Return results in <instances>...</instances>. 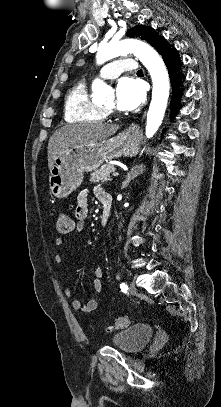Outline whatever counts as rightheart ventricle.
<instances>
[{"mask_svg": "<svg viewBox=\"0 0 221 407\" xmlns=\"http://www.w3.org/2000/svg\"><path fill=\"white\" fill-rule=\"evenodd\" d=\"M106 115L103 107L92 99L85 80L77 81L70 88L64 106L67 122H100Z\"/></svg>", "mask_w": 221, "mask_h": 407, "instance_id": "e07e8e85", "label": "right heart ventricle"}]
</instances>
